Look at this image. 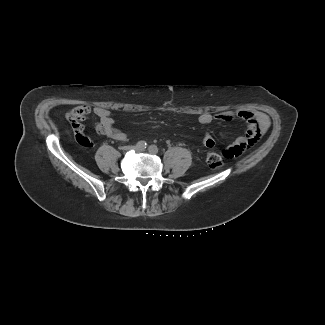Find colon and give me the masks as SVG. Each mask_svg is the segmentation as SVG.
Masks as SVG:
<instances>
[{"mask_svg": "<svg viewBox=\"0 0 325 325\" xmlns=\"http://www.w3.org/2000/svg\"><path fill=\"white\" fill-rule=\"evenodd\" d=\"M206 161L211 169H218L222 165V158L216 152H208L206 155Z\"/></svg>", "mask_w": 325, "mask_h": 325, "instance_id": "colon-1", "label": "colon"}]
</instances>
